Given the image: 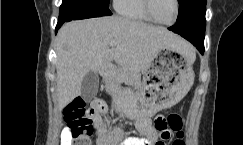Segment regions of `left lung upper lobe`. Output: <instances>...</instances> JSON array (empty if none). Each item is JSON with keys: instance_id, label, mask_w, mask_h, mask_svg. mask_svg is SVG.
<instances>
[{"instance_id": "5c2ea615", "label": "left lung upper lobe", "mask_w": 243, "mask_h": 145, "mask_svg": "<svg viewBox=\"0 0 243 145\" xmlns=\"http://www.w3.org/2000/svg\"><path fill=\"white\" fill-rule=\"evenodd\" d=\"M179 13L186 18V21L196 22L205 32L206 0H178Z\"/></svg>"}]
</instances>
